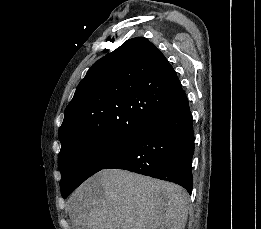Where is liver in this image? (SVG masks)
<instances>
[{
    "mask_svg": "<svg viewBox=\"0 0 261 229\" xmlns=\"http://www.w3.org/2000/svg\"><path fill=\"white\" fill-rule=\"evenodd\" d=\"M189 195L178 185L103 169L68 199L74 229H184Z\"/></svg>",
    "mask_w": 261,
    "mask_h": 229,
    "instance_id": "1",
    "label": "liver"
}]
</instances>
